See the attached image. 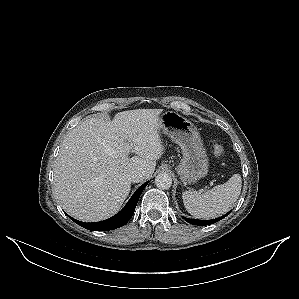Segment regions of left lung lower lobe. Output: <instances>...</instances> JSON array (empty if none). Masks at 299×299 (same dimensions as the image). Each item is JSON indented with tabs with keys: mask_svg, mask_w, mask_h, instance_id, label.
Masks as SVG:
<instances>
[{
	"mask_svg": "<svg viewBox=\"0 0 299 299\" xmlns=\"http://www.w3.org/2000/svg\"><path fill=\"white\" fill-rule=\"evenodd\" d=\"M230 212H228L227 214L219 217V218H216V219H212V220H196V219H189V218H184L188 223H191L193 225H199V226H202V225H210V224H213L217 221H220L221 219H223L224 217H226Z\"/></svg>",
	"mask_w": 299,
	"mask_h": 299,
	"instance_id": "0a47b994",
	"label": "left lung lower lobe"
}]
</instances>
